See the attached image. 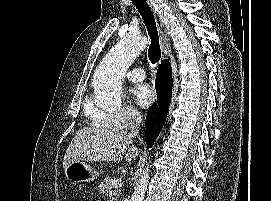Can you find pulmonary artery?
Instances as JSON below:
<instances>
[{"label": "pulmonary artery", "mask_w": 271, "mask_h": 201, "mask_svg": "<svg viewBox=\"0 0 271 201\" xmlns=\"http://www.w3.org/2000/svg\"><path fill=\"white\" fill-rule=\"evenodd\" d=\"M126 77L133 82H140L145 79V73L144 70L141 68H136L133 70H130L126 73Z\"/></svg>", "instance_id": "1"}]
</instances>
